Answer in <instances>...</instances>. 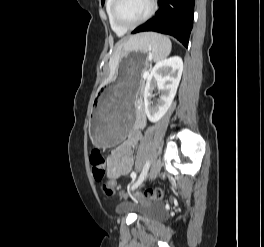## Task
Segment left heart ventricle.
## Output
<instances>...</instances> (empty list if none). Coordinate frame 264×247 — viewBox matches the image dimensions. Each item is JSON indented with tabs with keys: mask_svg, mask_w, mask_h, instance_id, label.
<instances>
[{
	"mask_svg": "<svg viewBox=\"0 0 264 247\" xmlns=\"http://www.w3.org/2000/svg\"><path fill=\"white\" fill-rule=\"evenodd\" d=\"M150 0H121L119 17L125 23H134L143 18L149 10Z\"/></svg>",
	"mask_w": 264,
	"mask_h": 247,
	"instance_id": "obj_1",
	"label": "left heart ventricle"
}]
</instances>
